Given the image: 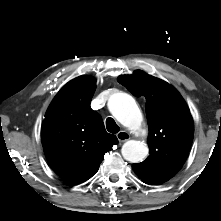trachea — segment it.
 Segmentation results:
<instances>
[{"label":"trachea","instance_id":"trachea-1","mask_svg":"<svg viewBox=\"0 0 221 221\" xmlns=\"http://www.w3.org/2000/svg\"><path fill=\"white\" fill-rule=\"evenodd\" d=\"M106 128H107L108 132L113 133V134H115L119 131V127L113 118L106 119Z\"/></svg>","mask_w":221,"mask_h":221}]
</instances>
